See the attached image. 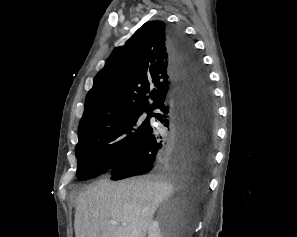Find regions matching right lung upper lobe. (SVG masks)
I'll list each match as a JSON object with an SVG mask.
<instances>
[{
    "instance_id": "right-lung-upper-lobe-1",
    "label": "right lung upper lobe",
    "mask_w": 297,
    "mask_h": 237,
    "mask_svg": "<svg viewBox=\"0 0 297 237\" xmlns=\"http://www.w3.org/2000/svg\"><path fill=\"white\" fill-rule=\"evenodd\" d=\"M169 28L161 21L146 22L112 52L86 96L78 134L108 118L151 112L171 98L176 83Z\"/></svg>"
}]
</instances>
